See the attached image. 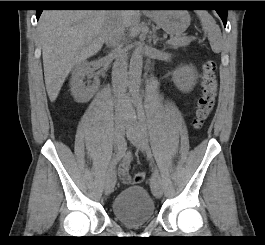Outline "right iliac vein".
<instances>
[{
  "instance_id": "1",
  "label": "right iliac vein",
  "mask_w": 265,
  "mask_h": 245,
  "mask_svg": "<svg viewBox=\"0 0 265 245\" xmlns=\"http://www.w3.org/2000/svg\"><path fill=\"white\" fill-rule=\"evenodd\" d=\"M126 126H127V123L125 121L123 120L116 121L114 134H113V142L115 146H117L120 142H122V136H123ZM115 182H116V173L113 169H111L105 178V194L106 195H109L113 192Z\"/></svg>"
}]
</instances>
